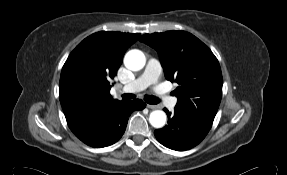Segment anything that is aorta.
I'll return each mask as SVG.
<instances>
[{"instance_id": "1", "label": "aorta", "mask_w": 287, "mask_h": 175, "mask_svg": "<svg viewBox=\"0 0 287 175\" xmlns=\"http://www.w3.org/2000/svg\"><path fill=\"white\" fill-rule=\"evenodd\" d=\"M146 63L145 55L142 51L133 49L126 53L124 65L132 71L141 70ZM166 114L162 110H155L150 113L149 122L154 128H162L166 123Z\"/></svg>"}]
</instances>
